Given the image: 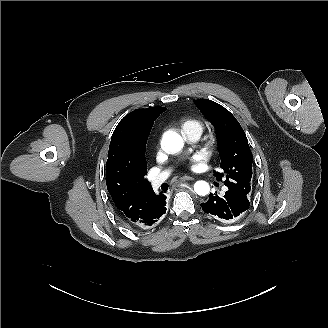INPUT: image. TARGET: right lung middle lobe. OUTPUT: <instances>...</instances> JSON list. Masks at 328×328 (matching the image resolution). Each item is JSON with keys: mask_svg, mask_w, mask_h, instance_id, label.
Here are the masks:
<instances>
[{"mask_svg": "<svg viewBox=\"0 0 328 328\" xmlns=\"http://www.w3.org/2000/svg\"><path fill=\"white\" fill-rule=\"evenodd\" d=\"M155 120V118L144 120L137 126L136 130L134 131V143L136 146L137 154L139 158L144 161H146L145 148L148 134L150 133Z\"/></svg>", "mask_w": 328, "mask_h": 328, "instance_id": "1", "label": "right lung middle lobe"}]
</instances>
